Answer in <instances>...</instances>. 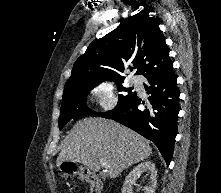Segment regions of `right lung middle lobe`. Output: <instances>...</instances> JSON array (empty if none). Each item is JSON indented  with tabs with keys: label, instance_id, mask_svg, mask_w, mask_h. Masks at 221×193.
I'll use <instances>...</instances> for the list:
<instances>
[{
	"label": "right lung middle lobe",
	"instance_id": "1",
	"mask_svg": "<svg viewBox=\"0 0 221 193\" xmlns=\"http://www.w3.org/2000/svg\"><path fill=\"white\" fill-rule=\"evenodd\" d=\"M121 83H123V81L118 82L119 91L128 92V94L119 95V101L116 108L120 107L136 95V92H132L130 88H124ZM95 86L96 85L71 87L64 90L59 117L60 129H62V127L72 118L77 116L86 114H99L89 109L86 104V97Z\"/></svg>",
	"mask_w": 221,
	"mask_h": 193
}]
</instances>
